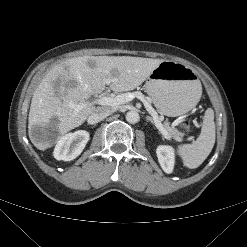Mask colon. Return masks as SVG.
I'll list each match as a JSON object with an SVG mask.
<instances>
[{"label":"colon","mask_w":247,"mask_h":247,"mask_svg":"<svg viewBox=\"0 0 247 247\" xmlns=\"http://www.w3.org/2000/svg\"><path fill=\"white\" fill-rule=\"evenodd\" d=\"M179 124L184 129H190L194 124V113H189L182 116L179 120Z\"/></svg>","instance_id":"5ec220e1"}]
</instances>
